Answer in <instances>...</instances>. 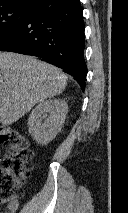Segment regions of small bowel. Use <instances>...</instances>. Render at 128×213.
I'll use <instances>...</instances> for the list:
<instances>
[{
	"label": "small bowel",
	"instance_id": "obj_1",
	"mask_svg": "<svg viewBox=\"0 0 128 213\" xmlns=\"http://www.w3.org/2000/svg\"><path fill=\"white\" fill-rule=\"evenodd\" d=\"M19 207V202L17 200H12L7 203L4 210H1L0 213H16Z\"/></svg>",
	"mask_w": 128,
	"mask_h": 213
}]
</instances>
